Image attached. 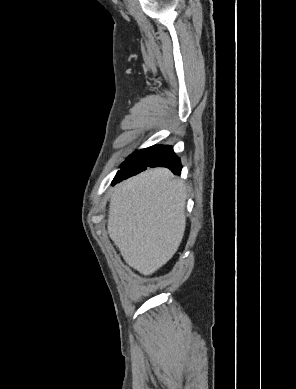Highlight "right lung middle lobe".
I'll return each instance as SVG.
<instances>
[{"label": "right lung middle lobe", "instance_id": "obj_1", "mask_svg": "<svg viewBox=\"0 0 296 389\" xmlns=\"http://www.w3.org/2000/svg\"><path fill=\"white\" fill-rule=\"evenodd\" d=\"M156 148L151 146L149 148L137 151L129 156L126 161L121 165L122 168H140L147 164V157Z\"/></svg>", "mask_w": 296, "mask_h": 389}]
</instances>
